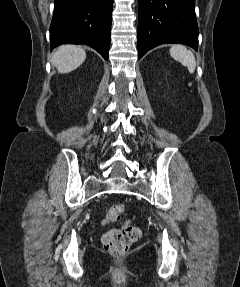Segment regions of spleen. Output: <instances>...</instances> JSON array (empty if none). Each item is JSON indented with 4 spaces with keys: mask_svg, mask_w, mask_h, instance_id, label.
<instances>
[{
    "mask_svg": "<svg viewBox=\"0 0 240 287\" xmlns=\"http://www.w3.org/2000/svg\"><path fill=\"white\" fill-rule=\"evenodd\" d=\"M170 55L175 60L179 61L183 66H186L192 74L196 68V60L194 54L183 45H173L170 48Z\"/></svg>",
    "mask_w": 240,
    "mask_h": 287,
    "instance_id": "3e777b00",
    "label": "spleen"
}]
</instances>
